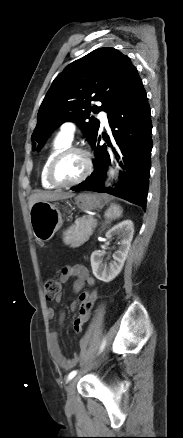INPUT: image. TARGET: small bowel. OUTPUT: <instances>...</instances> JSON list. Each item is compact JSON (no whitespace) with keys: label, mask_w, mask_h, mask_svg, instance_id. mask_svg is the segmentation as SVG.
I'll list each match as a JSON object with an SVG mask.
<instances>
[{"label":"small bowel","mask_w":183,"mask_h":438,"mask_svg":"<svg viewBox=\"0 0 183 438\" xmlns=\"http://www.w3.org/2000/svg\"><path fill=\"white\" fill-rule=\"evenodd\" d=\"M76 278L75 282L73 283L72 286V292L74 294L79 293L82 288L84 287V285H88V286H92L95 283L94 278L89 274L88 270L86 267L82 266V265H75V266H65L62 268L61 270V275H60V281L62 283H66L68 282L71 278ZM85 294H88V291L83 292ZM81 295L80 294V300H81ZM63 299L62 294H59L56 297V302H61ZM70 308L71 310H76L77 308H80V304H78L76 301H73L70 304ZM47 315L48 318L50 320L55 319L56 317V312L53 308H49L47 310ZM91 313L86 317L83 318L82 316H80V314L75 318V320L73 321V331L75 333H80L82 331V328L84 326V324L89 320ZM65 318V313L63 311H61L58 315V320L60 323L63 322ZM51 343H52V358L53 361L56 365H58L59 367L63 368V369H70L72 368L77 360L75 358L73 359H68L64 356L59 344H58V336L56 333H53L51 336Z\"/></svg>","instance_id":"1"}]
</instances>
